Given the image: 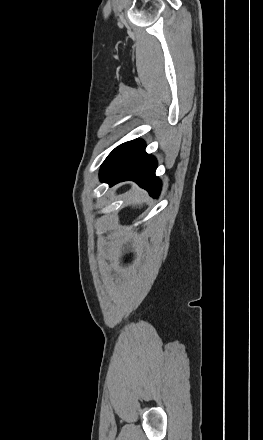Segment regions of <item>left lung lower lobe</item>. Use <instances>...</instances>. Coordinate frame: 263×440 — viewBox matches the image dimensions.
Masks as SVG:
<instances>
[{"label":"left lung lower lobe","instance_id":"obj_1","mask_svg":"<svg viewBox=\"0 0 263 440\" xmlns=\"http://www.w3.org/2000/svg\"><path fill=\"white\" fill-rule=\"evenodd\" d=\"M156 168L155 157L145 152V142L135 139L115 148L107 164L100 170V180L110 186L132 180L157 198L161 181L155 176Z\"/></svg>","mask_w":263,"mask_h":440}]
</instances>
